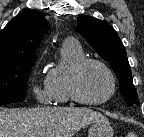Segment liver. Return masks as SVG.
Wrapping results in <instances>:
<instances>
[{
	"label": "liver",
	"instance_id": "1",
	"mask_svg": "<svg viewBox=\"0 0 144 137\" xmlns=\"http://www.w3.org/2000/svg\"><path fill=\"white\" fill-rule=\"evenodd\" d=\"M99 120L107 118L83 107L0 108V137H73Z\"/></svg>",
	"mask_w": 144,
	"mask_h": 137
}]
</instances>
